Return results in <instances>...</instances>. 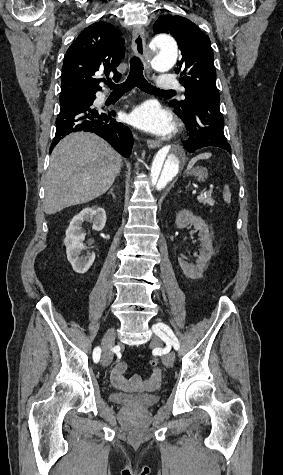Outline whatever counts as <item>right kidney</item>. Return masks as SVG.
Instances as JSON below:
<instances>
[{
	"label": "right kidney",
	"instance_id": "right-kidney-1",
	"mask_svg": "<svg viewBox=\"0 0 283 475\" xmlns=\"http://www.w3.org/2000/svg\"><path fill=\"white\" fill-rule=\"evenodd\" d=\"M92 222L93 230H103L106 224V212L103 208H84L77 216L72 218L69 228L66 230V238L64 243L66 245L67 259L70 261L74 271L77 273H85L91 267L95 253H87V255H80L82 249H87V245H84L83 241L86 234H82L81 226L83 222Z\"/></svg>",
	"mask_w": 283,
	"mask_h": 475
}]
</instances>
